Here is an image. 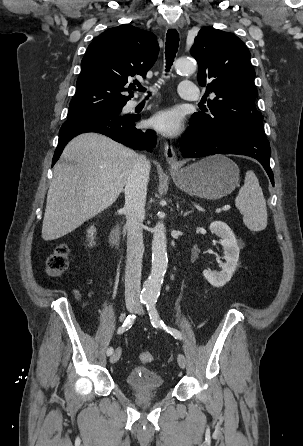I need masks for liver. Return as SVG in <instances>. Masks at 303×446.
<instances>
[{
    "label": "liver",
    "instance_id": "1",
    "mask_svg": "<svg viewBox=\"0 0 303 446\" xmlns=\"http://www.w3.org/2000/svg\"><path fill=\"white\" fill-rule=\"evenodd\" d=\"M54 167L42 225V238L71 233L111 206L123 191L138 154L112 139L85 133L72 139ZM69 162V163H68Z\"/></svg>",
    "mask_w": 303,
    "mask_h": 446
}]
</instances>
